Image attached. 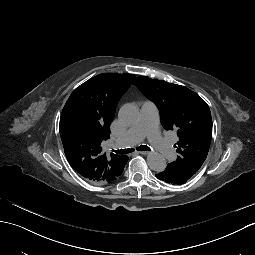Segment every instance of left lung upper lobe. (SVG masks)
<instances>
[{
	"instance_id": "1",
	"label": "left lung upper lobe",
	"mask_w": 255,
	"mask_h": 255,
	"mask_svg": "<svg viewBox=\"0 0 255 255\" xmlns=\"http://www.w3.org/2000/svg\"><path fill=\"white\" fill-rule=\"evenodd\" d=\"M133 84L157 105L163 127L177 132L179 142L175 148L179 156L166 168L171 167L187 181L202 166L209 151L212 118L207 103L190 89L166 81L140 76Z\"/></svg>"
}]
</instances>
